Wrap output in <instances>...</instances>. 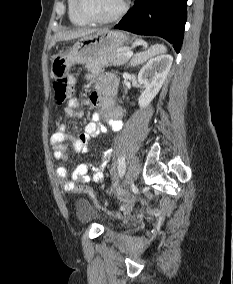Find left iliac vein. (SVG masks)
Here are the masks:
<instances>
[{
	"instance_id": "left-iliac-vein-1",
	"label": "left iliac vein",
	"mask_w": 233,
	"mask_h": 284,
	"mask_svg": "<svg viewBox=\"0 0 233 284\" xmlns=\"http://www.w3.org/2000/svg\"><path fill=\"white\" fill-rule=\"evenodd\" d=\"M140 173V160L138 157H134L128 167V172L125 181V187L134 182Z\"/></svg>"
}]
</instances>
